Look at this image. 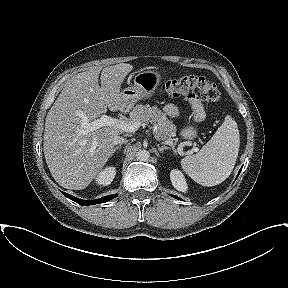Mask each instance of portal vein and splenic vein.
<instances>
[{
	"mask_svg": "<svg viewBox=\"0 0 288 288\" xmlns=\"http://www.w3.org/2000/svg\"><path fill=\"white\" fill-rule=\"evenodd\" d=\"M81 126L85 130L84 133L92 132V131L97 130V129L104 127V126H113V127L120 129L124 132H135L138 130V128L141 126V124L138 121H135L132 123H125V122L120 121L118 119H114L110 116L102 115L99 119L94 120L92 122H89L86 117H83ZM166 144L172 145L173 141L167 140ZM95 146H96V143L94 142L93 148H95Z\"/></svg>",
	"mask_w": 288,
	"mask_h": 288,
	"instance_id": "portal-vein-and-splenic-vein-1",
	"label": "portal vein and splenic vein"
}]
</instances>
